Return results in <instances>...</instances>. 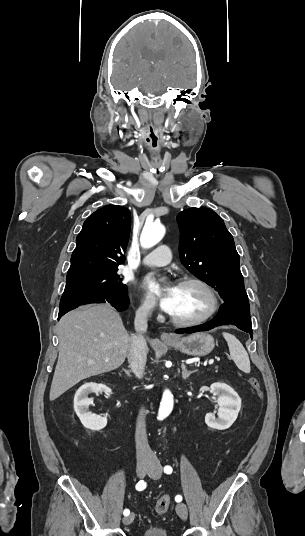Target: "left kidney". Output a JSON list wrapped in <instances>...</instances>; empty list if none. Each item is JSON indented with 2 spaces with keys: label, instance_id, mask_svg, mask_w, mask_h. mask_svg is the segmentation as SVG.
I'll return each mask as SVG.
<instances>
[{
  "label": "left kidney",
  "instance_id": "obj_1",
  "mask_svg": "<svg viewBox=\"0 0 305 536\" xmlns=\"http://www.w3.org/2000/svg\"><path fill=\"white\" fill-rule=\"evenodd\" d=\"M212 394L218 396V418L213 414H206L205 422L209 428L214 430H227L235 422L241 408V398L233 388L221 382H215L211 386Z\"/></svg>",
  "mask_w": 305,
  "mask_h": 536
}]
</instances>
